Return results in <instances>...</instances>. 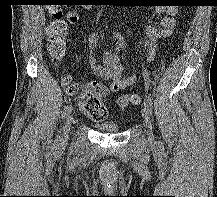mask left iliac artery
Instances as JSON below:
<instances>
[{"label": "left iliac artery", "instance_id": "1", "mask_svg": "<svg viewBox=\"0 0 217 197\" xmlns=\"http://www.w3.org/2000/svg\"><path fill=\"white\" fill-rule=\"evenodd\" d=\"M144 79H145V88L148 89L149 86V73L146 69H144ZM144 106L148 109V111L150 112V114H152V100L146 96L145 98V102H144ZM160 144V143H158Z\"/></svg>", "mask_w": 217, "mask_h": 197}]
</instances>
